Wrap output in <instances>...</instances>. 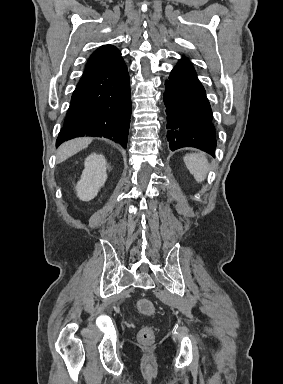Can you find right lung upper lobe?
Masks as SVG:
<instances>
[{"label":"right lung upper lobe","instance_id":"right-lung-upper-lobe-1","mask_svg":"<svg viewBox=\"0 0 283 384\" xmlns=\"http://www.w3.org/2000/svg\"><path fill=\"white\" fill-rule=\"evenodd\" d=\"M122 62L123 58L116 47L112 45L102 46L89 57L83 75L110 69Z\"/></svg>","mask_w":283,"mask_h":384}]
</instances>
